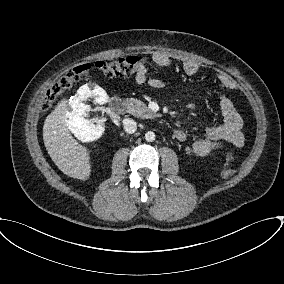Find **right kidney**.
I'll return each instance as SVG.
<instances>
[{
  "mask_svg": "<svg viewBox=\"0 0 284 284\" xmlns=\"http://www.w3.org/2000/svg\"><path fill=\"white\" fill-rule=\"evenodd\" d=\"M89 97H94L98 104H105L108 100L107 93L96 84H85L81 86L70 101V111L67 113V126L75 137L82 142H91L101 137L104 126L93 124L86 119L90 107L83 102Z\"/></svg>",
  "mask_w": 284,
  "mask_h": 284,
  "instance_id": "1",
  "label": "right kidney"
}]
</instances>
